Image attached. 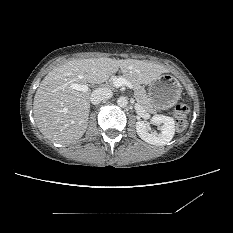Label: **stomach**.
I'll return each mask as SVG.
<instances>
[{
  "label": "stomach",
  "mask_w": 233,
  "mask_h": 233,
  "mask_svg": "<svg viewBox=\"0 0 233 233\" xmlns=\"http://www.w3.org/2000/svg\"><path fill=\"white\" fill-rule=\"evenodd\" d=\"M181 92L182 86L178 79L170 74H163L149 83L148 99L153 107L165 110L178 102Z\"/></svg>",
  "instance_id": "0dacf381"
}]
</instances>
